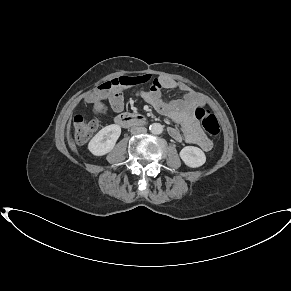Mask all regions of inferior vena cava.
I'll return each mask as SVG.
<instances>
[{
  "instance_id": "602c4592",
  "label": "inferior vena cava",
  "mask_w": 291,
  "mask_h": 291,
  "mask_svg": "<svg viewBox=\"0 0 291 291\" xmlns=\"http://www.w3.org/2000/svg\"><path fill=\"white\" fill-rule=\"evenodd\" d=\"M131 133L132 134H143V133H145L146 131H147V129L145 128V127H143V126H133V127H131Z\"/></svg>"
}]
</instances>
